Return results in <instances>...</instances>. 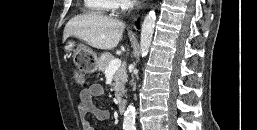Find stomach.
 Instances as JSON below:
<instances>
[{
	"instance_id": "0dacf381",
	"label": "stomach",
	"mask_w": 257,
	"mask_h": 130,
	"mask_svg": "<svg viewBox=\"0 0 257 130\" xmlns=\"http://www.w3.org/2000/svg\"><path fill=\"white\" fill-rule=\"evenodd\" d=\"M75 42L68 40L64 46L67 53L73 52V58L85 72H94L97 70L98 58L97 55L84 44H79L76 48Z\"/></svg>"
}]
</instances>
